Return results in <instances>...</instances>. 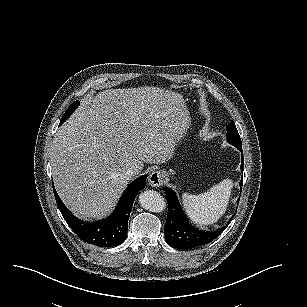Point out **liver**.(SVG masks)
Segmentation results:
<instances>
[{"mask_svg": "<svg viewBox=\"0 0 307 307\" xmlns=\"http://www.w3.org/2000/svg\"><path fill=\"white\" fill-rule=\"evenodd\" d=\"M191 126L181 94L157 87L108 89L84 98L56 132L55 189L79 219H102L144 163L163 164Z\"/></svg>", "mask_w": 307, "mask_h": 307, "instance_id": "6515ba94", "label": "liver"}]
</instances>
